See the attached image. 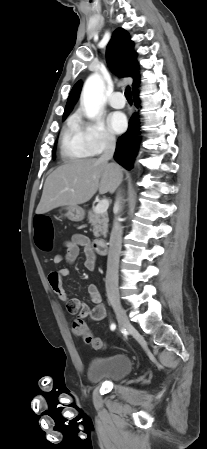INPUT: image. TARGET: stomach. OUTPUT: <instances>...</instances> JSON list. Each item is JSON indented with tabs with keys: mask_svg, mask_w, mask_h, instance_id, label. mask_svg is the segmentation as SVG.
I'll list each match as a JSON object with an SVG mask.
<instances>
[{
	"mask_svg": "<svg viewBox=\"0 0 207 449\" xmlns=\"http://www.w3.org/2000/svg\"><path fill=\"white\" fill-rule=\"evenodd\" d=\"M61 216L68 218L73 222H80L85 217V211L82 207L76 206H62L59 210Z\"/></svg>",
	"mask_w": 207,
	"mask_h": 449,
	"instance_id": "obj_1",
	"label": "stomach"
}]
</instances>
